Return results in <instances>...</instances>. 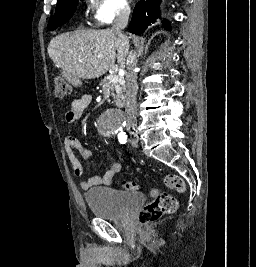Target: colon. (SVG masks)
<instances>
[{"label": "colon", "instance_id": "1", "mask_svg": "<svg viewBox=\"0 0 256 267\" xmlns=\"http://www.w3.org/2000/svg\"><path fill=\"white\" fill-rule=\"evenodd\" d=\"M55 94L59 98L67 97L71 94V84L69 81H65V77L57 76L54 80ZM165 184L177 193H184L186 190L185 182L183 179L176 175H166L164 177ZM122 187L131 192H137L139 185L136 182H123ZM157 188H151L150 195H157ZM157 197V200H152L146 204L137 214V223L141 228H148L149 222H155L162 216L172 214L178 209V200L172 195H161Z\"/></svg>", "mask_w": 256, "mask_h": 267}]
</instances>
